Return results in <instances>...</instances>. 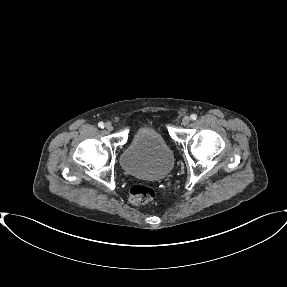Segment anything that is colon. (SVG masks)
Here are the masks:
<instances>
[{"mask_svg":"<svg viewBox=\"0 0 287 287\" xmlns=\"http://www.w3.org/2000/svg\"><path fill=\"white\" fill-rule=\"evenodd\" d=\"M155 198V192L152 188L137 184L130 189L129 200L136 206L149 204Z\"/></svg>","mask_w":287,"mask_h":287,"instance_id":"colon-1","label":"colon"}]
</instances>
